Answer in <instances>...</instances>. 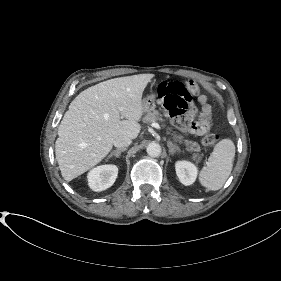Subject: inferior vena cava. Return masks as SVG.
I'll list each match as a JSON object with an SVG mask.
<instances>
[{"label": "inferior vena cava", "mask_w": 281, "mask_h": 281, "mask_svg": "<svg viewBox=\"0 0 281 281\" xmlns=\"http://www.w3.org/2000/svg\"><path fill=\"white\" fill-rule=\"evenodd\" d=\"M132 142V139L126 136H120L117 137L114 141H113V145L117 148H125L127 146H129Z\"/></svg>", "instance_id": "obj_1"}]
</instances>
